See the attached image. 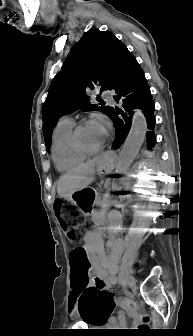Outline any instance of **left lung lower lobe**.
<instances>
[{
  "label": "left lung lower lobe",
  "mask_w": 193,
  "mask_h": 336,
  "mask_svg": "<svg viewBox=\"0 0 193 336\" xmlns=\"http://www.w3.org/2000/svg\"><path fill=\"white\" fill-rule=\"evenodd\" d=\"M109 90L115 92L114 99L116 102H121L125 110L123 112L112 108L109 114L115 127L112 149H119L125 141L132 124L134 108L141 109L146 117L149 129L146 132L147 148L153 147L156 142L153 131L155 127L154 102L144 72L127 48L121 53L118 69Z\"/></svg>",
  "instance_id": "obj_1"
}]
</instances>
